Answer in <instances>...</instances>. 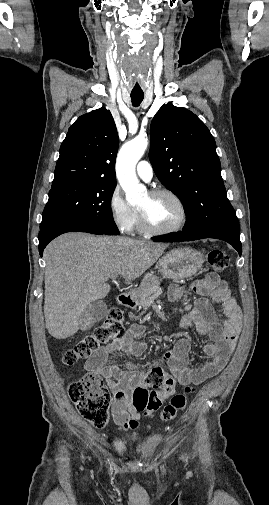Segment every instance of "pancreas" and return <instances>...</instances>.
<instances>
[{"instance_id": "1", "label": "pancreas", "mask_w": 269, "mask_h": 505, "mask_svg": "<svg viewBox=\"0 0 269 505\" xmlns=\"http://www.w3.org/2000/svg\"><path fill=\"white\" fill-rule=\"evenodd\" d=\"M162 293V289L159 285L151 287L149 289L142 290L139 300L140 308H147L153 303V297L158 296Z\"/></svg>"}]
</instances>
